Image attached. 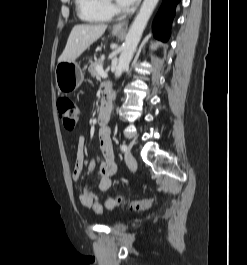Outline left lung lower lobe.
Segmentation results:
<instances>
[{"instance_id":"0a47b994","label":"left lung lower lobe","mask_w":247,"mask_h":265,"mask_svg":"<svg viewBox=\"0 0 247 265\" xmlns=\"http://www.w3.org/2000/svg\"><path fill=\"white\" fill-rule=\"evenodd\" d=\"M180 0H163V3L153 22L154 36L166 42L170 36L171 23L175 15V8Z\"/></svg>"}]
</instances>
